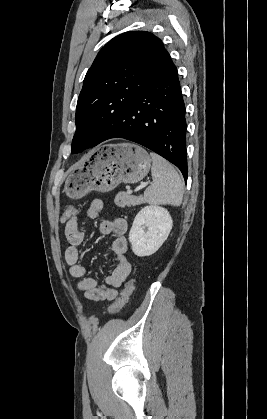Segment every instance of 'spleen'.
I'll use <instances>...</instances> for the list:
<instances>
[{
    "mask_svg": "<svg viewBox=\"0 0 267 419\" xmlns=\"http://www.w3.org/2000/svg\"><path fill=\"white\" fill-rule=\"evenodd\" d=\"M153 182L144 192V201L152 205L180 206L183 199V182L175 168L158 154L151 152Z\"/></svg>",
    "mask_w": 267,
    "mask_h": 419,
    "instance_id": "spleen-1",
    "label": "spleen"
}]
</instances>
